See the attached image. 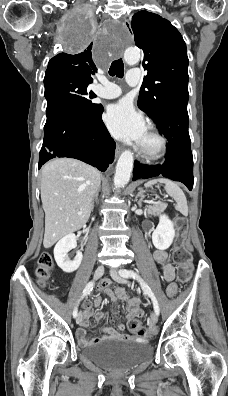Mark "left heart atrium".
I'll list each match as a JSON object with an SVG mask.
<instances>
[{
    "mask_svg": "<svg viewBox=\"0 0 228 396\" xmlns=\"http://www.w3.org/2000/svg\"><path fill=\"white\" fill-rule=\"evenodd\" d=\"M104 120L111 134L124 141H134L140 144L147 133L143 116L128 100L111 105Z\"/></svg>",
    "mask_w": 228,
    "mask_h": 396,
    "instance_id": "1",
    "label": "left heart atrium"
}]
</instances>
